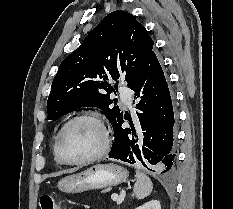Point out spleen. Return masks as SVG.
<instances>
[{
  "label": "spleen",
  "mask_w": 233,
  "mask_h": 209,
  "mask_svg": "<svg viewBox=\"0 0 233 209\" xmlns=\"http://www.w3.org/2000/svg\"><path fill=\"white\" fill-rule=\"evenodd\" d=\"M136 182L134 184L133 193L137 199H144L150 195L153 184L150 178L140 172H136Z\"/></svg>",
  "instance_id": "1"
}]
</instances>
